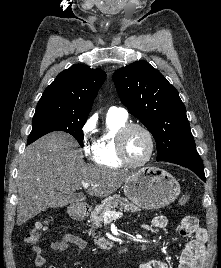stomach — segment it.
I'll use <instances>...</instances> for the list:
<instances>
[{
    "label": "stomach",
    "instance_id": "0dacf381",
    "mask_svg": "<svg viewBox=\"0 0 221 268\" xmlns=\"http://www.w3.org/2000/svg\"><path fill=\"white\" fill-rule=\"evenodd\" d=\"M125 196L137 206L154 210L171 204L180 194L178 181L167 171L157 167H144L133 173L124 183ZM76 206L71 214L78 215Z\"/></svg>",
    "mask_w": 221,
    "mask_h": 268
}]
</instances>
